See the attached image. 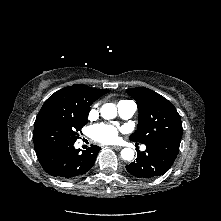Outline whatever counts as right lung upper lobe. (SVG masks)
<instances>
[{"mask_svg":"<svg viewBox=\"0 0 221 221\" xmlns=\"http://www.w3.org/2000/svg\"><path fill=\"white\" fill-rule=\"evenodd\" d=\"M108 92V89H95L86 85L74 84L55 92L44 104L60 103L72 112H89V106Z\"/></svg>","mask_w":221,"mask_h":221,"instance_id":"cb5924a9","label":"right lung upper lobe"}]
</instances>
